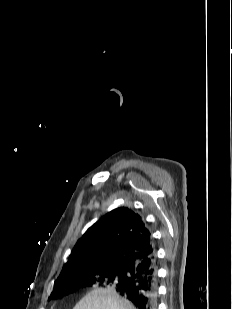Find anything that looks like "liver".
Segmentation results:
<instances>
[{"instance_id":"liver-1","label":"liver","mask_w":232,"mask_h":309,"mask_svg":"<svg viewBox=\"0 0 232 309\" xmlns=\"http://www.w3.org/2000/svg\"><path fill=\"white\" fill-rule=\"evenodd\" d=\"M73 309H136L113 289H95L86 294Z\"/></svg>"}]
</instances>
